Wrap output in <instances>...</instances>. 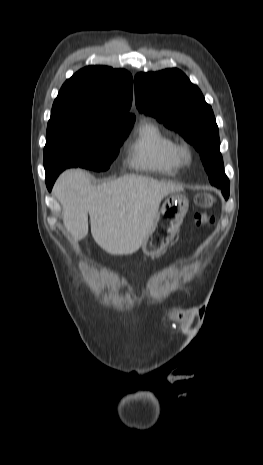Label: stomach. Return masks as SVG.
I'll list each match as a JSON object with an SVG mask.
<instances>
[{"mask_svg": "<svg viewBox=\"0 0 263 465\" xmlns=\"http://www.w3.org/2000/svg\"><path fill=\"white\" fill-rule=\"evenodd\" d=\"M189 207L188 199L179 193L170 194L142 243V251L147 256H156L173 240Z\"/></svg>", "mask_w": 263, "mask_h": 465, "instance_id": "stomach-1", "label": "stomach"}]
</instances>
